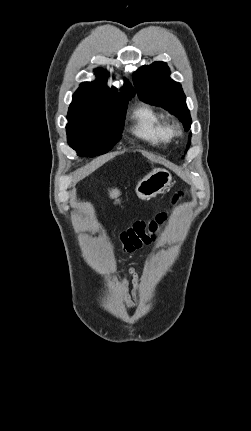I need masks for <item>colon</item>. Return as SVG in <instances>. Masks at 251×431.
<instances>
[{
  "label": "colon",
  "instance_id": "obj_1",
  "mask_svg": "<svg viewBox=\"0 0 251 431\" xmlns=\"http://www.w3.org/2000/svg\"><path fill=\"white\" fill-rule=\"evenodd\" d=\"M184 193L178 191L173 197V204L178 203ZM168 213L159 212L149 221H136L131 227L124 230L120 235V241L126 252H133L144 244H149L155 239L158 228L166 221Z\"/></svg>",
  "mask_w": 251,
  "mask_h": 431
}]
</instances>
